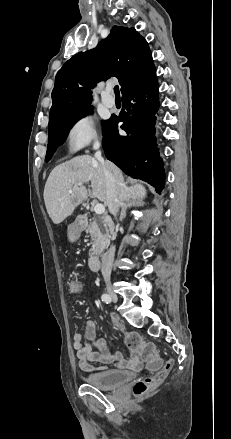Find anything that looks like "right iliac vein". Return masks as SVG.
<instances>
[{"label": "right iliac vein", "instance_id": "right-iliac-vein-1", "mask_svg": "<svg viewBox=\"0 0 231 439\" xmlns=\"http://www.w3.org/2000/svg\"><path fill=\"white\" fill-rule=\"evenodd\" d=\"M106 290H107V293H108V295L110 296V298H111L114 302H116V301L118 300V297H117V294L115 293L113 287H112L111 285H107Z\"/></svg>", "mask_w": 231, "mask_h": 439}]
</instances>
